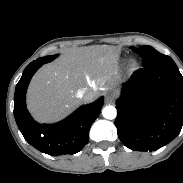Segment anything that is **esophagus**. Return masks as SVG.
Wrapping results in <instances>:
<instances>
[{"label":"esophagus","instance_id":"34e87169","mask_svg":"<svg viewBox=\"0 0 183 183\" xmlns=\"http://www.w3.org/2000/svg\"><path fill=\"white\" fill-rule=\"evenodd\" d=\"M105 100H106V102H111L112 101V98H111V96L106 95Z\"/></svg>","mask_w":183,"mask_h":183}]
</instances>
